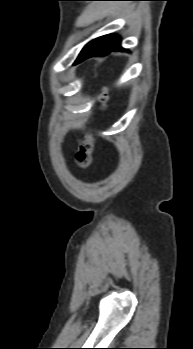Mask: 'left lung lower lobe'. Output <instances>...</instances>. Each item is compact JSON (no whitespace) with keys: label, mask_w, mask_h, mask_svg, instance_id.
Instances as JSON below:
<instances>
[{"label":"left lung lower lobe","mask_w":193,"mask_h":349,"mask_svg":"<svg viewBox=\"0 0 193 349\" xmlns=\"http://www.w3.org/2000/svg\"><path fill=\"white\" fill-rule=\"evenodd\" d=\"M117 49L123 50L120 46L119 36L109 34L98 37L85 45L78 58L74 62V65L82 62L89 57L107 55L111 51H115Z\"/></svg>","instance_id":"1"}]
</instances>
